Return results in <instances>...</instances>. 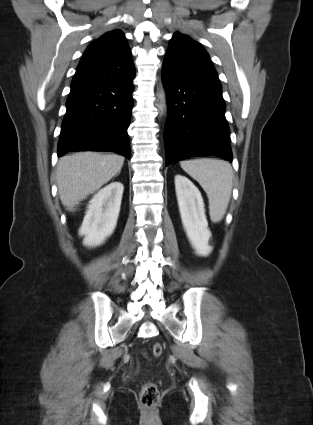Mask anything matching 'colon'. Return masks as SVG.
I'll return each mask as SVG.
<instances>
[{"instance_id": "colon-1", "label": "colon", "mask_w": 313, "mask_h": 425, "mask_svg": "<svg viewBox=\"0 0 313 425\" xmlns=\"http://www.w3.org/2000/svg\"><path fill=\"white\" fill-rule=\"evenodd\" d=\"M163 352V347L160 343H155L152 346V354L154 357H160ZM159 390L154 383L148 382L143 385L140 392V403L143 408L153 410L159 403Z\"/></svg>"}]
</instances>
